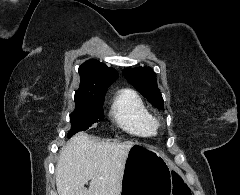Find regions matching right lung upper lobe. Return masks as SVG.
<instances>
[{
    "instance_id": "right-lung-upper-lobe-1",
    "label": "right lung upper lobe",
    "mask_w": 240,
    "mask_h": 195,
    "mask_svg": "<svg viewBox=\"0 0 240 195\" xmlns=\"http://www.w3.org/2000/svg\"><path fill=\"white\" fill-rule=\"evenodd\" d=\"M80 86L75 100L85 98H104L107 88L118 78L117 71L98 60L85 61L79 67Z\"/></svg>"
}]
</instances>
